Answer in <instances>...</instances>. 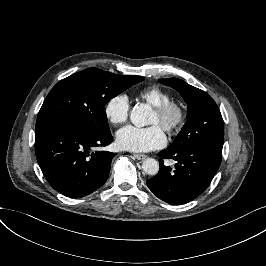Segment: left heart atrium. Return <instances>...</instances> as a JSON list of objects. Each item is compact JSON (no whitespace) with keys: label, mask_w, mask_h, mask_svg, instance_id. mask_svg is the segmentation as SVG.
Wrapping results in <instances>:
<instances>
[{"label":"left heart atrium","mask_w":266,"mask_h":266,"mask_svg":"<svg viewBox=\"0 0 266 266\" xmlns=\"http://www.w3.org/2000/svg\"><path fill=\"white\" fill-rule=\"evenodd\" d=\"M117 142L123 149L143 152L162 147L166 135L162 126L156 123L146 127L128 125L118 130Z\"/></svg>","instance_id":"39dd6f15"}]
</instances>
